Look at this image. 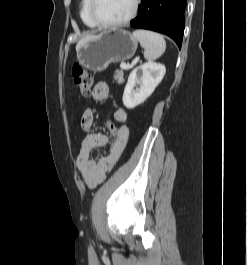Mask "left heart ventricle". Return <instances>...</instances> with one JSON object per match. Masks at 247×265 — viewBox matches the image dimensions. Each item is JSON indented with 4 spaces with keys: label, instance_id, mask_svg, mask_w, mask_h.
<instances>
[{
    "label": "left heart ventricle",
    "instance_id": "b2bd125f",
    "mask_svg": "<svg viewBox=\"0 0 247 265\" xmlns=\"http://www.w3.org/2000/svg\"><path fill=\"white\" fill-rule=\"evenodd\" d=\"M133 1L134 0H97L95 6L96 15L105 23L122 20L131 12Z\"/></svg>",
    "mask_w": 247,
    "mask_h": 265
}]
</instances>
